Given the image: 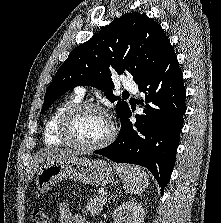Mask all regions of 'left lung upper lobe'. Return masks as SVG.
Returning a JSON list of instances; mask_svg holds the SVG:
<instances>
[{
  "instance_id": "left-lung-upper-lobe-1",
  "label": "left lung upper lobe",
  "mask_w": 221,
  "mask_h": 223,
  "mask_svg": "<svg viewBox=\"0 0 221 223\" xmlns=\"http://www.w3.org/2000/svg\"><path fill=\"white\" fill-rule=\"evenodd\" d=\"M170 45L162 27L145 13L131 12L114 19L71 51L46 90L41 113L78 85L96 87L104 90L110 101L118 100L111 91L112 74L130 73L140 84L159 65ZM128 109L125 101L117 102L120 118Z\"/></svg>"
}]
</instances>
